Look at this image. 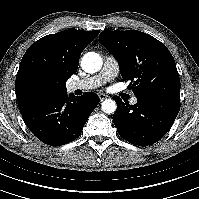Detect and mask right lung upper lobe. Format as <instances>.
<instances>
[{
  "instance_id": "cb5924a9",
  "label": "right lung upper lobe",
  "mask_w": 199,
  "mask_h": 199,
  "mask_svg": "<svg viewBox=\"0 0 199 199\" xmlns=\"http://www.w3.org/2000/svg\"><path fill=\"white\" fill-rule=\"evenodd\" d=\"M99 30H65L33 43L16 76L19 108L67 93L66 81L77 71L82 51Z\"/></svg>"
}]
</instances>
